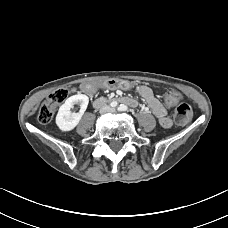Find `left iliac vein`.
Segmentation results:
<instances>
[{
  "instance_id": "1",
  "label": "left iliac vein",
  "mask_w": 228,
  "mask_h": 228,
  "mask_svg": "<svg viewBox=\"0 0 228 228\" xmlns=\"http://www.w3.org/2000/svg\"><path fill=\"white\" fill-rule=\"evenodd\" d=\"M115 110L114 109H111V112H114Z\"/></svg>"
}]
</instances>
